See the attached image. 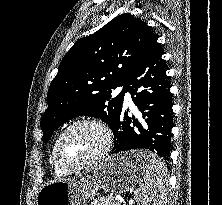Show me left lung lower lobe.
<instances>
[{"instance_id": "left-lung-lower-lobe-1", "label": "left lung lower lobe", "mask_w": 222, "mask_h": 205, "mask_svg": "<svg viewBox=\"0 0 222 205\" xmlns=\"http://www.w3.org/2000/svg\"><path fill=\"white\" fill-rule=\"evenodd\" d=\"M162 54L157 37L152 33L145 48L128 72L123 86V95L126 92L131 94L144 120L131 118L127 112L121 110L112 128L115 138L110 154L144 148L160 155L161 152L168 150L164 158L168 161L173 127V103L171 85L166 75L167 67L161 58ZM139 88H146V90L138 91Z\"/></svg>"}]
</instances>
